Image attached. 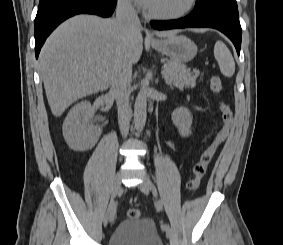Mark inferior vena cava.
Here are the masks:
<instances>
[{"instance_id":"1","label":"inferior vena cava","mask_w":283,"mask_h":245,"mask_svg":"<svg viewBox=\"0 0 283 245\" xmlns=\"http://www.w3.org/2000/svg\"><path fill=\"white\" fill-rule=\"evenodd\" d=\"M116 22L123 30L130 26H140L139 18L130 0H118ZM131 77L132 63L126 60L119 62L114 70L110 88V94L117 102L119 129L123 136L128 134L131 119L129 104Z\"/></svg>"}]
</instances>
